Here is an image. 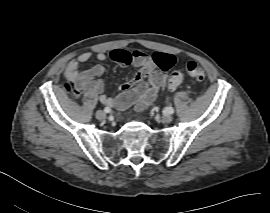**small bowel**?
Wrapping results in <instances>:
<instances>
[{
  "mask_svg": "<svg viewBox=\"0 0 270 213\" xmlns=\"http://www.w3.org/2000/svg\"><path fill=\"white\" fill-rule=\"evenodd\" d=\"M172 58V64L169 68L174 66L175 58L170 54ZM92 55L90 52H83L77 58L71 59L66 68V76L70 81V88L77 94L83 93H102L104 89L103 81L99 78L103 73V67L96 65L89 70H82L81 65L88 62ZM95 58L100 62H106L111 59L110 54L105 51H97ZM130 64L133 66L147 70L145 77H140L138 74L134 79L122 84L121 89L124 91L134 89V97L130 100H123L122 98H113L106 94L100 95V100L103 104L110 107H126L131 103H136V110L142 111L148 105H150L158 94L159 89L164 83V74L154 71V68L158 65L162 69L165 67L156 64L149 57L143 53L133 56L130 60ZM124 66L125 63H120ZM167 68V69H169Z\"/></svg>",
  "mask_w": 270,
  "mask_h": 213,
  "instance_id": "1",
  "label": "small bowel"
}]
</instances>
